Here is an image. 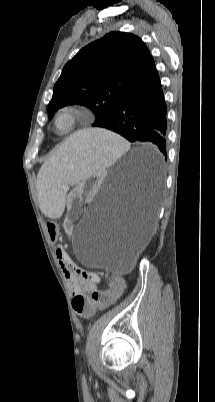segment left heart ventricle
Masks as SVG:
<instances>
[{"mask_svg":"<svg viewBox=\"0 0 215 402\" xmlns=\"http://www.w3.org/2000/svg\"><path fill=\"white\" fill-rule=\"evenodd\" d=\"M63 125H64V123L62 122V123H61V126H63Z\"/></svg>","mask_w":215,"mask_h":402,"instance_id":"obj_1","label":"left heart ventricle"}]
</instances>
